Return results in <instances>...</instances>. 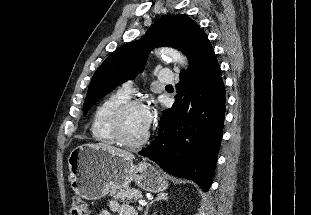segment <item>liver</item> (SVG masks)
Masks as SVG:
<instances>
[{
  "label": "liver",
  "mask_w": 311,
  "mask_h": 215,
  "mask_svg": "<svg viewBox=\"0 0 311 215\" xmlns=\"http://www.w3.org/2000/svg\"><path fill=\"white\" fill-rule=\"evenodd\" d=\"M95 145L98 146V147H101V148H103L105 150H107L110 153L120 154V155L126 156V157H128L130 159L134 158L133 154H131L130 152L122 150V149H119V148H116V147L108 145L106 143H98V144H95Z\"/></svg>",
  "instance_id": "obj_1"
}]
</instances>
